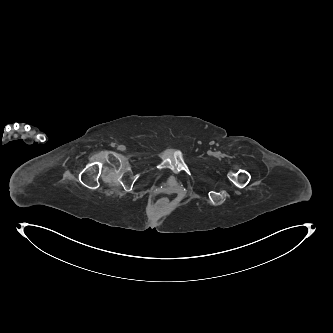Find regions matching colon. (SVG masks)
Returning <instances> with one entry per match:
<instances>
[{
  "label": "colon",
  "mask_w": 333,
  "mask_h": 333,
  "mask_svg": "<svg viewBox=\"0 0 333 333\" xmlns=\"http://www.w3.org/2000/svg\"><path fill=\"white\" fill-rule=\"evenodd\" d=\"M169 204V200L167 198H160L159 200H157L156 202V206L159 207V208H163V207H166L168 206Z\"/></svg>",
  "instance_id": "5ec220e1"
}]
</instances>
